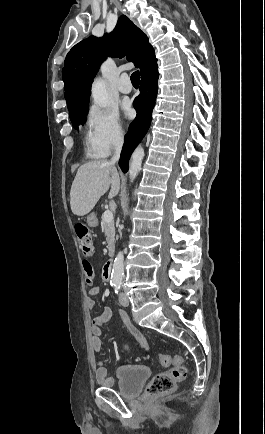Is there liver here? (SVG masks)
I'll use <instances>...</instances> for the list:
<instances>
[{
	"mask_svg": "<svg viewBox=\"0 0 265 434\" xmlns=\"http://www.w3.org/2000/svg\"><path fill=\"white\" fill-rule=\"evenodd\" d=\"M109 200L119 194L120 178L114 166L107 160H95L80 166L71 186L70 206L75 216H86L109 190Z\"/></svg>",
	"mask_w": 265,
	"mask_h": 434,
	"instance_id": "6515ba94",
	"label": "liver"
}]
</instances>
